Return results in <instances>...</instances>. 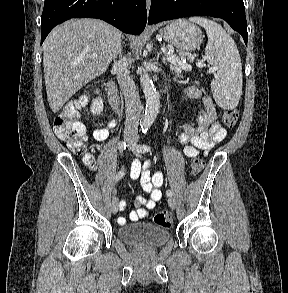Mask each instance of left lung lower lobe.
<instances>
[{"label":"left lung lower lobe","mask_w":288,"mask_h":293,"mask_svg":"<svg viewBox=\"0 0 288 293\" xmlns=\"http://www.w3.org/2000/svg\"><path fill=\"white\" fill-rule=\"evenodd\" d=\"M207 15L224 19L247 45L248 33L243 0H151L149 25L186 16Z\"/></svg>","instance_id":"left-lung-lower-lobe-1"}]
</instances>
